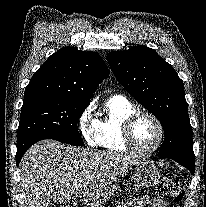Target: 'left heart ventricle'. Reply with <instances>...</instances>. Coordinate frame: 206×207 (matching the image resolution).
<instances>
[{
  "mask_svg": "<svg viewBox=\"0 0 206 207\" xmlns=\"http://www.w3.org/2000/svg\"><path fill=\"white\" fill-rule=\"evenodd\" d=\"M158 134L156 124L148 117L138 119L132 130L133 141L142 150L152 148L157 142Z\"/></svg>",
  "mask_w": 206,
  "mask_h": 207,
  "instance_id": "1",
  "label": "left heart ventricle"
}]
</instances>
